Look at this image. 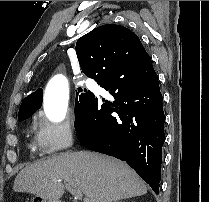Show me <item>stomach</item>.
Wrapping results in <instances>:
<instances>
[{"instance_id":"stomach-1","label":"stomach","mask_w":209,"mask_h":202,"mask_svg":"<svg viewBox=\"0 0 209 202\" xmlns=\"http://www.w3.org/2000/svg\"><path fill=\"white\" fill-rule=\"evenodd\" d=\"M31 202H60V201L56 199H51L44 196L36 195L31 199Z\"/></svg>"}]
</instances>
